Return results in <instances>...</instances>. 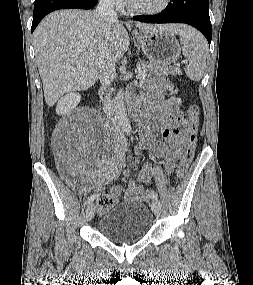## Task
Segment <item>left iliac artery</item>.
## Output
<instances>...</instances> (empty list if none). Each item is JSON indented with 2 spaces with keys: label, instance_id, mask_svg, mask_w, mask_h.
Returning a JSON list of instances; mask_svg holds the SVG:
<instances>
[{
  "label": "left iliac artery",
  "instance_id": "obj_1",
  "mask_svg": "<svg viewBox=\"0 0 253 285\" xmlns=\"http://www.w3.org/2000/svg\"><path fill=\"white\" fill-rule=\"evenodd\" d=\"M151 198L153 199V200H158V195H157V193L155 192V191H151Z\"/></svg>",
  "mask_w": 253,
  "mask_h": 285
}]
</instances>
